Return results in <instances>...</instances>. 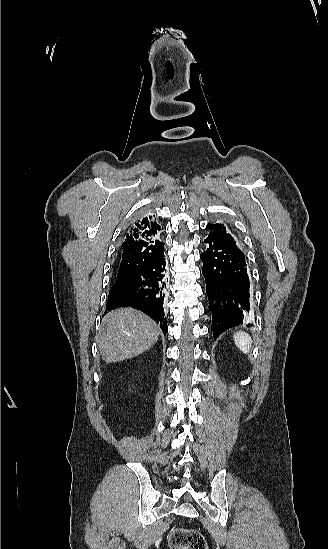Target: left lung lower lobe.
Returning a JSON list of instances; mask_svg holds the SVG:
<instances>
[{"label": "left lung lower lobe", "mask_w": 328, "mask_h": 549, "mask_svg": "<svg viewBox=\"0 0 328 549\" xmlns=\"http://www.w3.org/2000/svg\"><path fill=\"white\" fill-rule=\"evenodd\" d=\"M204 243L207 249L200 255L202 274L212 313L211 330L216 339L226 329L250 321L251 291L243 252L210 235Z\"/></svg>", "instance_id": "left-lung-lower-lobe-1"}]
</instances>
